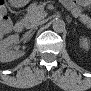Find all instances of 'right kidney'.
<instances>
[{
	"instance_id": "1",
	"label": "right kidney",
	"mask_w": 91,
	"mask_h": 91,
	"mask_svg": "<svg viewBox=\"0 0 91 91\" xmlns=\"http://www.w3.org/2000/svg\"><path fill=\"white\" fill-rule=\"evenodd\" d=\"M19 41V35H11L0 42V61L11 62L17 58L22 57L25 52L18 50H11L13 45H16Z\"/></svg>"
}]
</instances>
